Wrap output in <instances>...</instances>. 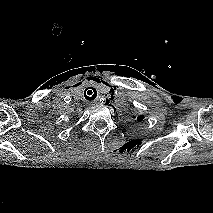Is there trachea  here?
I'll use <instances>...</instances> for the list:
<instances>
[{
  "label": "trachea",
  "mask_w": 213,
  "mask_h": 213,
  "mask_svg": "<svg viewBox=\"0 0 213 213\" xmlns=\"http://www.w3.org/2000/svg\"><path fill=\"white\" fill-rule=\"evenodd\" d=\"M87 94L85 93V98L87 100H94L97 96V91L94 88H88ZM91 89V90H90Z\"/></svg>",
  "instance_id": "3493384b"
}]
</instances>
